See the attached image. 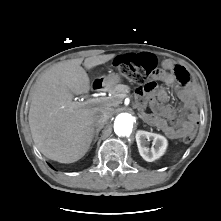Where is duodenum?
Returning <instances> with one entry per match:
<instances>
[{
	"label": "duodenum",
	"mask_w": 221,
	"mask_h": 221,
	"mask_svg": "<svg viewBox=\"0 0 221 221\" xmlns=\"http://www.w3.org/2000/svg\"><path fill=\"white\" fill-rule=\"evenodd\" d=\"M93 88L98 92H105L108 89V85L103 81H96L93 83Z\"/></svg>",
	"instance_id": "duodenum-1"
}]
</instances>
